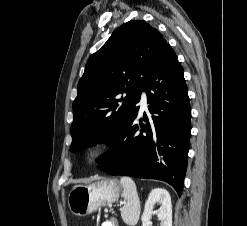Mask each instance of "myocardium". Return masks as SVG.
Returning <instances> with one entry per match:
<instances>
[{
  "label": "myocardium",
  "mask_w": 247,
  "mask_h": 226,
  "mask_svg": "<svg viewBox=\"0 0 247 226\" xmlns=\"http://www.w3.org/2000/svg\"><path fill=\"white\" fill-rule=\"evenodd\" d=\"M108 142L103 138L91 140L84 150V160L89 164L96 163L106 153Z\"/></svg>",
  "instance_id": "myocardium-1"
}]
</instances>
